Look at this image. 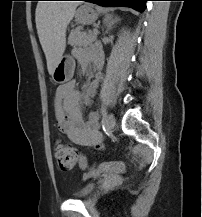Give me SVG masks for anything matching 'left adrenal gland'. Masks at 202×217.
Instances as JSON below:
<instances>
[{"instance_id": "1", "label": "left adrenal gland", "mask_w": 202, "mask_h": 217, "mask_svg": "<svg viewBox=\"0 0 202 217\" xmlns=\"http://www.w3.org/2000/svg\"><path fill=\"white\" fill-rule=\"evenodd\" d=\"M120 19L118 17H115L114 19H112L110 22H105L107 23V29H106V33H108L109 30L112 29V25L116 22H118Z\"/></svg>"}]
</instances>
